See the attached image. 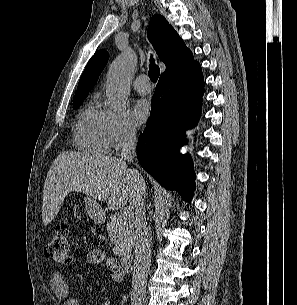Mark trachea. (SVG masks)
Returning <instances> with one entry per match:
<instances>
[{
    "instance_id": "trachea-1",
    "label": "trachea",
    "mask_w": 297,
    "mask_h": 305,
    "mask_svg": "<svg viewBox=\"0 0 297 305\" xmlns=\"http://www.w3.org/2000/svg\"><path fill=\"white\" fill-rule=\"evenodd\" d=\"M149 78L153 83H156L159 75H160V69L159 67L154 63V59H150V65H149Z\"/></svg>"
}]
</instances>
